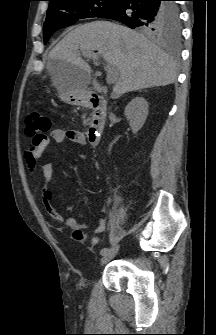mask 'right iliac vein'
Masks as SVG:
<instances>
[{"label":"right iliac vein","mask_w":216,"mask_h":335,"mask_svg":"<svg viewBox=\"0 0 216 335\" xmlns=\"http://www.w3.org/2000/svg\"><path fill=\"white\" fill-rule=\"evenodd\" d=\"M120 250V244L119 243H115L110 249L109 251L102 256L101 260H100V264L104 265L107 262H109L110 260H112L119 252Z\"/></svg>","instance_id":"63e3f726"}]
</instances>
